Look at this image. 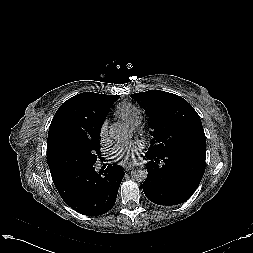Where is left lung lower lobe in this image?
Wrapping results in <instances>:
<instances>
[{
	"mask_svg": "<svg viewBox=\"0 0 253 253\" xmlns=\"http://www.w3.org/2000/svg\"><path fill=\"white\" fill-rule=\"evenodd\" d=\"M148 175L142 187L158 205H177L196 191L205 171L206 151L182 148L164 154L146 152Z\"/></svg>",
	"mask_w": 253,
	"mask_h": 253,
	"instance_id": "obj_1",
	"label": "left lung lower lobe"
}]
</instances>
